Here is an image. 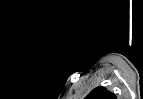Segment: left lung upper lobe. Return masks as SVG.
Segmentation results:
<instances>
[{
    "label": "left lung upper lobe",
    "mask_w": 143,
    "mask_h": 99,
    "mask_svg": "<svg viewBox=\"0 0 143 99\" xmlns=\"http://www.w3.org/2000/svg\"><path fill=\"white\" fill-rule=\"evenodd\" d=\"M85 99H116V95L108 91L105 87H96Z\"/></svg>",
    "instance_id": "obj_1"
}]
</instances>
